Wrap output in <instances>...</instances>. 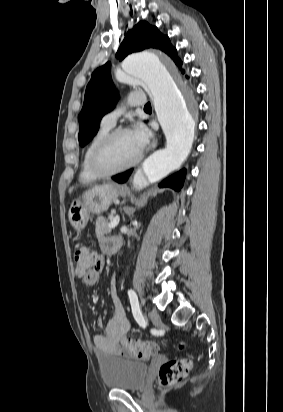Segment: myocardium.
I'll use <instances>...</instances> for the list:
<instances>
[{"instance_id":"obj_1","label":"myocardium","mask_w":283,"mask_h":412,"mask_svg":"<svg viewBox=\"0 0 283 412\" xmlns=\"http://www.w3.org/2000/svg\"><path fill=\"white\" fill-rule=\"evenodd\" d=\"M130 132V130L126 127H119L110 130L107 134H105L95 145V147L92 150L91 157H90V166L93 170V172L96 174L97 177H110L112 175H115L117 173L126 171L133 166L137 165L142 157H143V152L140 151V153L137 155V157L131 161L130 163L113 168V169H107L102 166L101 164V158L106 151V149L109 147L111 142L120 134Z\"/></svg>"}]
</instances>
